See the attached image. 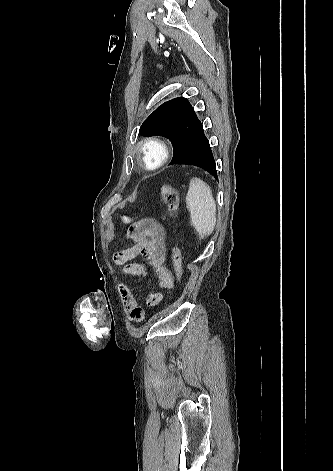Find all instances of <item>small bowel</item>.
Masks as SVG:
<instances>
[{
	"label": "small bowel",
	"instance_id": "obj_1",
	"mask_svg": "<svg viewBox=\"0 0 333 471\" xmlns=\"http://www.w3.org/2000/svg\"><path fill=\"white\" fill-rule=\"evenodd\" d=\"M128 238L132 241V244L117 250L113 255L114 263L122 265V274L143 278L147 276L148 268H150L157 277L159 287L161 289H171L174 279L165 265V231L162 226L153 219L137 220L130 226ZM138 254L145 258L146 265L128 263ZM117 292L128 319L135 323L141 322L145 317V309L137 303L132 290L120 282L117 285ZM163 299V293L150 292L146 296V304L155 307Z\"/></svg>",
	"mask_w": 333,
	"mask_h": 471
}]
</instances>
